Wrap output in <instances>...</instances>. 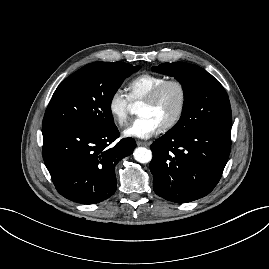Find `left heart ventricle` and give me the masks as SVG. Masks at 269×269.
Returning a JSON list of instances; mask_svg holds the SVG:
<instances>
[{
	"instance_id": "obj_1",
	"label": "left heart ventricle",
	"mask_w": 269,
	"mask_h": 269,
	"mask_svg": "<svg viewBox=\"0 0 269 269\" xmlns=\"http://www.w3.org/2000/svg\"><path fill=\"white\" fill-rule=\"evenodd\" d=\"M180 105V92L176 86H168L158 100L147 105L142 103L139 108L140 116H151L161 126L168 123L176 114Z\"/></svg>"
}]
</instances>
